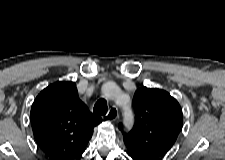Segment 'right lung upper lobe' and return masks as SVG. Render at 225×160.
Wrapping results in <instances>:
<instances>
[{
	"label": "right lung upper lobe",
	"instance_id": "1",
	"mask_svg": "<svg viewBox=\"0 0 225 160\" xmlns=\"http://www.w3.org/2000/svg\"><path fill=\"white\" fill-rule=\"evenodd\" d=\"M35 140L53 160H79L102 119L78 98L76 84L56 82L42 90L30 113Z\"/></svg>",
	"mask_w": 225,
	"mask_h": 160
}]
</instances>
